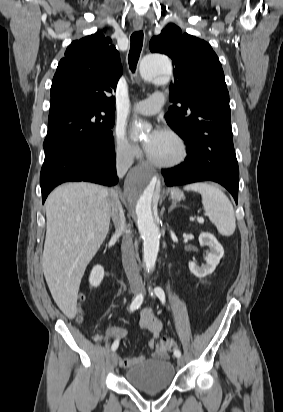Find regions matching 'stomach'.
<instances>
[{
  "mask_svg": "<svg viewBox=\"0 0 283 412\" xmlns=\"http://www.w3.org/2000/svg\"><path fill=\"white\" fill-rule=\"evenodd\" d=\"M170 197L173 201H180L184 198V195L180 190L174 188L170 192Z\"/></svg>",
  "mask_w": 283,
  "mask_h": 412,
  "instance_id": "1",
  "label": "stomach"
}]
</instances>
